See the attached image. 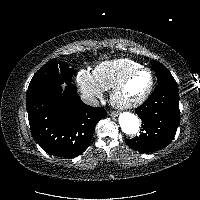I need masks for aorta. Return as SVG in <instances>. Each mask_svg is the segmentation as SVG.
<instances>
[{"label": "aorta", "instance_id": "1", "mask_svg": "<svg viewBox=\"0 0 200 200\" xmlns=\"http://www.w3.org/2000/svg\"><path fill=\"white\" fill-rule=\"evenodd\" d=\"M119 124L125 134L133 135L139 131L140 120L130 112H123L119 116Z\"/></svg>", "mask_w": 200, "mask_h": 200}]
</instances>
